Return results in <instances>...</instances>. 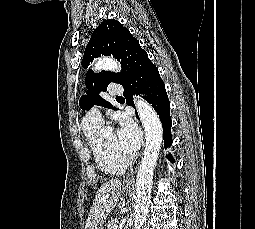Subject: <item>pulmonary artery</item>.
<instances>
[{
	"instance_id": "1",
	"label": "pulmonary artery",
	"mask_w": 255,
	"mask_h": 229,
	"mask_svg": "<svg viewBox=\"0 0 255 229\" xmlns=\"http://www.w3.org/2000/svg\"><path fill=\"white\" fill-rule=\"evenodd\" d=\"M122 92H123L122 87L117 84H112L109 89V94L111 96L120 95ZM102 124L103 119L97 107H94L92 110H90L83 119L84 126H101Z\"/></svg>"
}]
</instances>
